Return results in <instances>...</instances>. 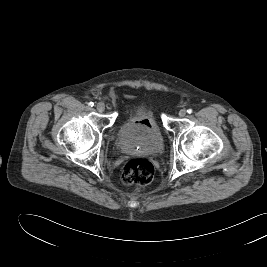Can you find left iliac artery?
<instances>
[{
  "label": "left iliac artery",
  "instance_id": "44dca946",
  "mask_svg": "<svg viewBox=\"0 0 267 267\" xmlns=\"http://www.w3.org/2000/svg\"><path fill=\"white\" fill-rule=\"evenodd\" d=\"M193 112V110L191 109V108H189L188 110H187V113H189V114H191Z\"/></svg>",
  "mask_w": 267,
  "mask_h": 267
}]
</instances>
